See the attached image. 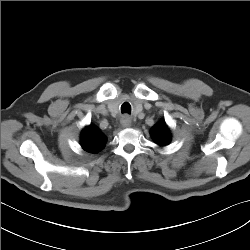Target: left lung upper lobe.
Segmentation results:
<instances>
[{
  "mask_svg": "<svg viewBox=\"0 0 250 250\" xmlns=\"http://www.w3.org/2000/svg\"><path fill=\"white\" fill-rule=\"evenodd\" d=\"M151 135L154 141L161 146L170 142V132L165 122H160L151 129Z\"/></svg>",
  "mask_w": 250,
  "mask_h": 250,
  "instance_id": "5c2ea615",
  "label": "left lung upper lobe"
}]
</instances>
